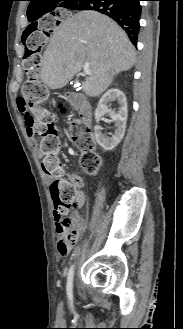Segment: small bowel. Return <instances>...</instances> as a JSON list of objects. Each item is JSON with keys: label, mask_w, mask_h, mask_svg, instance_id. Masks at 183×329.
I'll return each mask as SVG.
<instances>
[{"label": "small bowel", "mask_w": 183, "mask_h": 329, "mask_svg": "<svg viewBox=\"0 0 183 329\" xmlns=\"http://www.w3.org/2000/svg\"><path fill=\"white\" fill-rule=\"evenodd\" d=\"M18 104L19 103H17V106H18ZM21 115H22V119L26 125V130H27L28 136L34 142L33 133L29 126L30 114H21ZM68 178L77 184V189H76L77 207H81V206H83L84 201H85V195L82 190V186H83L82 180L78 176L72 175V174L68 175ZM70 218H71V222L76 227V229L78 231H80L82 228V219H81L80 215L77 212H73L71 214ZM55 228H56L57 233L60 235L59 240L57 242L58 252L60 255L66 256V255H68L72 245L68 244L66 242L65 233L63 231L62 225H61L60 221L57 219H56V223H55Z\"/></svg>", "instance_id": "c3829d8e"}]
</instances>
